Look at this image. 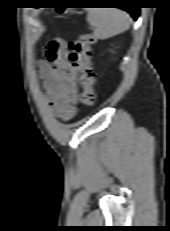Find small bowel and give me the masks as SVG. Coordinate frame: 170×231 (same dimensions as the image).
I'll use <instances>...</instances> for the list:
<instances>
[{
    "mask_svg": "<svg viewBox=\"0 0 170 231\" xmlns=\"http://www.w3.org/2000/svg\"><path fill=\"white\" fill-rule=\"evenodd\" d=\"M40 74L50 110L61 119L73 118L78 100L77 73L69 62L67 43L63 39L57 38L48 44Z\"/></svg>",
    "mask_w": 170,
    "mask_h": 231,
    "instance_id": "small-bowel-1",
    "label": "small bowel"
}]
</instances>
